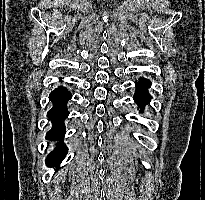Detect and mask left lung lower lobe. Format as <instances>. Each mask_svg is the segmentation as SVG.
<instances>
[{
  "instance_id": "0a47b994",
  "label": "left lung lower lobe",
  "mask_w": 205,
  "mask_h": 200,
  "mask_svg": "<svg viewBox=\"0 0 205 200\" xmlns=\"http://www.w3.org/2000/svg\"><path fill=\"white\" fill-rule=\"evenodd\" d=\"M139 80V82H135L137 89L134 95V101L138 104L142 112L143 107L148 104L152 98L147 90L148 87L151 86V82L147 79L140 78Z\"/></svg>"
}]
</instances>
